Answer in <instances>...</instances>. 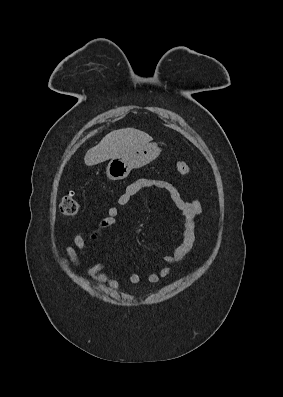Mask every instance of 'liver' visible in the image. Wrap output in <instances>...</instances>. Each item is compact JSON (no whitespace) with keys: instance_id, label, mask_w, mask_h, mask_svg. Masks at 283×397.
I'll return each mask as SVG.
<instances>
[{"instance_id":"6515ba94","label":"liver","mask_w":283,"mask_h":397,"mask_svg":"<svg viewBox=\"0 0 283 397\" xmlns=\"http://www.w3.org/2000/svg\"><path fill=\"white\" fill-rule=\"evenodd\" d=\"M151 140L152 137L147 133L134 128L114 130L87 151L84 162L87 166H93L109 159L125 157Z\"/></svg>"}]
</instances>
